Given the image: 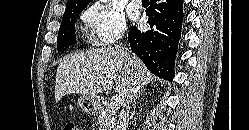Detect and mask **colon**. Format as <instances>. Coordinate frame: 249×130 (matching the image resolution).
<instances>
[{
    "label": "colon",
    "mask_w": 249,
    "mask_h": 130,
    "mask_svg": "<svg viewBox=\"0 0 249 130\" xmlns=\"http://www.w3.org/2000/svg\"><path fill=\"white\" fill-rule=\"evenodd\" d=\"M63 130H79V128L74 122H67L64 125Z\"/></svg>",
    "instance_id": "obj_1"
}]
</instances>
